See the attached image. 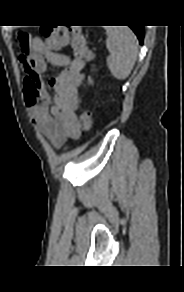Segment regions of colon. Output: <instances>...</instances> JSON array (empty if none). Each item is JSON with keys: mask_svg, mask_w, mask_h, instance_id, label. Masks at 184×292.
Here are the masks:
<instances>
[{"mask_svg": "<svg viewBox=\"0 0 184 292\" xmlns=\"http://www.w3.org/2000/svg\"><path fill=\"white\" fill-rule=\"evenodd\" d=\"M41 34L45 38V48L48 51H58L69 45L75 59L86 60L92 62L95 55L94 52L86 45L85 37L81 29L77 26L68 28L63 27H42ZM20 46L28 47L30 44V36L27 33L18 35ZM92 83V77L87 79V84ZM82 128L89 131L92 127V116L89 111H83L80 115Z\"/></svg>", "mask_w": 184, "mask_h": 292, "instance_id": "1", "label": "colon"}]
</instances>
